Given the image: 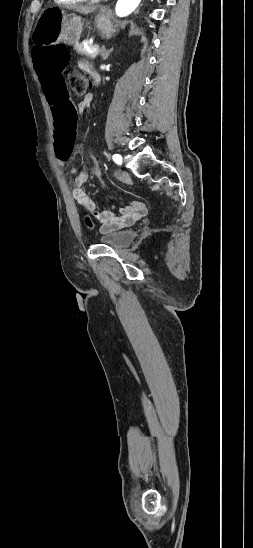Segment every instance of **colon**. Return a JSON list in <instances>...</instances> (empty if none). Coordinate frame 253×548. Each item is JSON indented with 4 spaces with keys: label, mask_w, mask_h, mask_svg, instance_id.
<instances>
[{
    "label": "colon",
    "mask_w": 253,
    "mask_h": 548,
    "mask_svg": "<svg viewBox=\"0 0 253 548\" xmlns=\"http://www.w3.org/2000/svg\"><path fill=\"white\" fill-rule=\"evenodd\" d=\"M34 59L38 79H41L42 95L46 96V104L51 105V114L54 124L52 148L57 158L68 159L71 156V146L77 135L75 126L77 120L76 100L70 98L68 83L65 80L67 62L69 59L66 49L62 45L50 46L34 51ZM71 93L82 96L88 87V77L78 71H71L68 75ZM88 167L94 173V179L105 183L109 179L103 175L98 161L88 162ZM105 189L115 192V187L105 184Z\"/></svg>",
    "instance_id": "1"
}]
</instances>
